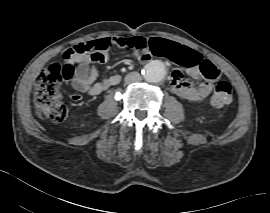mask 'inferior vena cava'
Instances as JSON below:
<instances>
[{
	"label": "inferior vena cava",
	"instance_id": "inferior-vena-cava-1",
	"mask_svg": "<svg viewBox=\"0 0 270 213\" xmlns=\"http://www.w3.org/2000/svg\"><path fill=\"white\" fill-rule=\"evenodd\" d=\"M141 79V75L138 72H130L125 77V83L130 84L134 82H140Z\"/></svg>",
	"mask_w": 270,
	"mask_h": 213
}]
</instances>
